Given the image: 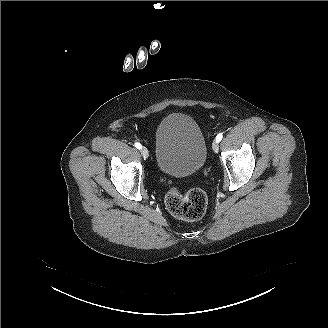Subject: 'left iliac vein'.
I'll return each instance as SVG.
<instances>
[{
    "mask_svg": "<svg viewBox=\"0 0 328 328\" xmlns=\"http://www.w3.org/2000/svg\"><path fill=\"white\" fill-rule=\"evenodd\" d=\"M212 149H213L215 152H218V150H219V144H218L217 141H214V142L212 143Z\"/></svg>",
    "mask_w": 328,
    "mask_h": 328,
    "instance_id": "obj_1",
    "label": "left iliac vein"
}]
</instances>
